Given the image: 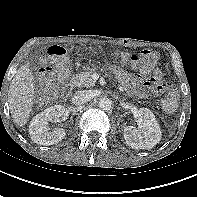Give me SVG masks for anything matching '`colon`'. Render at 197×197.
Returning a JSON list of instances; mask_svg holds the SVG:
<instances>
[{
    "label": "colon",
    "instance_id": "obj_1",
    "mask_svg": "<svg viewBox=\"0 0 197 197\" xmlns=\"http://www.w3.org/2000/svg\"><path fill=\"white\" fill-rule=\"evenodd\" d=\"M122 58L130 60L134 65L143 71L151 70L158 62V54L155 50L146 48L138 53H121ZM48 59L51 65L41 76L42 94L49 96L55 89V86L65 80L69 74V60L67 51L59 46H53L48 50ZM178 103V94L172 87L168 88L166 98L162 106L166 111H173Z\"/></svg>",
    "mask_w": 197,
    "mask_h": 197
}]
</instances>
